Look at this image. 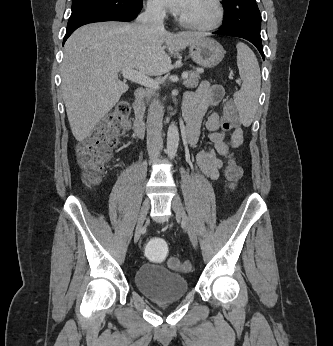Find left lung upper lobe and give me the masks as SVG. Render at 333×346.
<instances>
[{
	"label": "left lung upper lobe",
	"instance_id": "1",
	"mask_svg": "<svg viewBox=\"0 0 333 346\" xmlns=\"http://www.w3.org/2000/svg\"><path fill=\"white\" fill-rule=\"evenodd\" d=\"M224 27H237L260 37L261 14L256 0H222Z\"/></svg>",
	"mask_w": 333,
	"mask_h": 346
}]
</instances>
